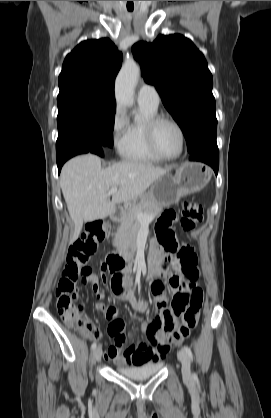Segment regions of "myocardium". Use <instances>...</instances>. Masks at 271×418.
I'll return each mask as SVG.
<instances>
[{"mask_svg": "<svg viewBox=\"0 0 271 418\" xmlns=\"http://www.w3.org/2000/svg\"><path fill=\"white\" fill-rule=\"evenodd\" d=\"M163 123H168L174 126L180 135V141H181L180 150L174 156H167L163 154L157 145V141H156L157 130H158V127ZM146 138H147L148 146L151 149V151L161 160L172 161V160L178 159L183 154L184 149H185L186 136H185V132L183 128L176 120L170 117L164 116V115H156L155 117H153L152 119L148 121L146 125Z\"/></svg>", "mask_w": 271, "mask_h": 418, "instance_id": "1", "label": "myocardium"}]
</instances>
